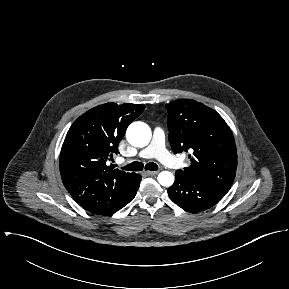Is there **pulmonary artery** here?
<instances>
[{
	"instance_id": "pulmonary-artery-1",
	"label": "pulmonary artery",
	"mask_w": 289,
	"mask_h": 289,
	"mask_svg": "<svg viewBox=\"0 0 289 289\" xmlns=\"http://www.w3.org/2000/svg\"><path fill=\"white\" fill-rule=\"evenodd\" d=\"M140 158H156L167 166H175L176 159L165 148V133L160 127L153 132L150 144L142 149L138 155Z\"/></svg>"
}]
</instances>
